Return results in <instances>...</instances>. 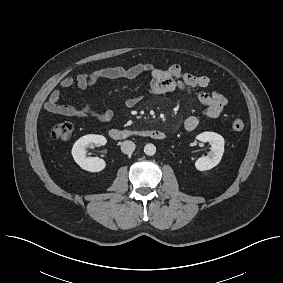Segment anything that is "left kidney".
<instances>
[{
  "instance_id": "left-kidney-1",
  "label": "left kidney",
  "mask_w": 283,
  "mask_h": 283,
  "mask_svg": "<svg viewBox=\"0 0 283 283\" xmlns=\"http://www.w3.org/2000/svg\"><path fill=\"white\" fill-rule=\"evenodd\" d=\"M196 139L201 142H209L211 151L207 156L200 157L195 162V167L199 171H206L217 166L224 153V138L215 132H203L196 136Z\"/></svg>"
}]
</instances>
